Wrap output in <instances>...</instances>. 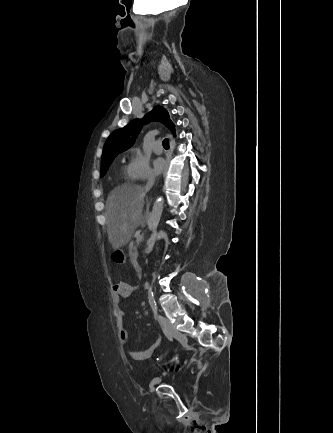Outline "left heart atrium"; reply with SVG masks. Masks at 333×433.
Listing matches in <instances>:
<instances>
[{
    "mask_svg": "<svg viewBox=\"0 0 333 433\" xmlns=\"http://www.w3.org/2000/svg\"><path fill=\"white\" fill-rule=\"evenodd\" d=\"M154 170L156 173H160L164 167V162L161 158H157L154 160Z\"/></svg>",
    "mask_w": 333,
    "mask_h": 433,
    "instance_id": "1",
    "label": "left heart atrium"
}]
</instances>
